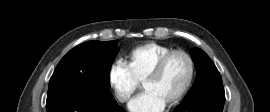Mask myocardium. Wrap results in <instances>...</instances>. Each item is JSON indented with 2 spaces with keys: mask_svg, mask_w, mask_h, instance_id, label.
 I'll use <instances>...</instances> for the list:
<instances>
[{
  "mask_svg": "<svg viewBox=\"0 0 270 112\" xmlns=\"http://www.w3.org/2000/svg\"><path fill=\"white\" fill-rule=\"evenodd\" d=\"M175 55H182L187 59L189 63V76H188L186 84L184 85L180 93L167 104L168 107H173V106L178 105L189 93L194 83L195 76H196V66H195V61L193 57L185 50H182V49L172 50L166 53L165 55H163L157 61V63L155 64V66L153 67V69L150 71V73L147 75L146 79L143 82V86H144L146 83L156 80L163 72L164 67L167 64V62Z\"/></svg>",
  "mask_w": 270,
  "mask_h": 112,
  "instance_id": "1",
  "label": "myocardium"
}]
</instances>
